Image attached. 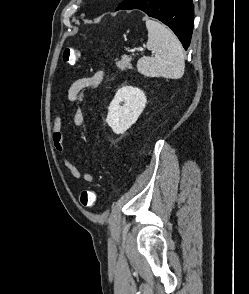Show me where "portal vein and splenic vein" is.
<instances>
[{
  "label": "portal vein and splenic vein",
  "mask_w": 249,
  "mask_h": 294,
  "mask_svg": "<svg viewBox=\"0 0 249 294\" xmlns=\"http://www.w3.org/2000/svg\"><path fill=\"white\" fill-rule=\"evenodd\" d=\"M138 51H142V49H138Z\"/></svg>",
  "instance_id": "18ae733b"
}]
</instances>
